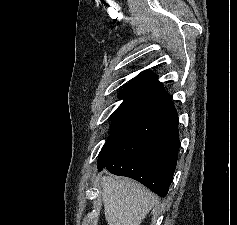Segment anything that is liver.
Here are the masks:
<instances>
[{
  "label": "liver",
  "instance_id": "1",
  "mask_svg": "<svg viewBox=\"0 0 237 225\" xmlns=\"http://www.w3.org/2000/svg\"><path fill=\"white\" fill-rule=\"evenodd\" d=\"M108 225H140L157 202L154 193L129 178H101Z\"/></svg>",
  "mask_w": 237,
  "mask_h": 225
}]
</instances>
